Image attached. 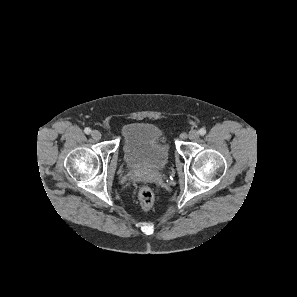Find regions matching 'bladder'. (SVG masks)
Here are the masks:
<instances>
[{
	"label": "bladder",
	"mask_w": 297,
	"mask_h": 297,
	"mask_svg": "<svg viewBox=\"0 0 297 297\" xmlns=\"http://www.w3.org/2000/svg\"><path fill=\"white\" fill-rule=\"evenodd\" d=\"M122 152L127 166L141 171L163 170L170 159L160 128L146 122L125 126L122 132Z\"/></svg>",
	"instance_id": "bladder-1"
}]
</instances>
